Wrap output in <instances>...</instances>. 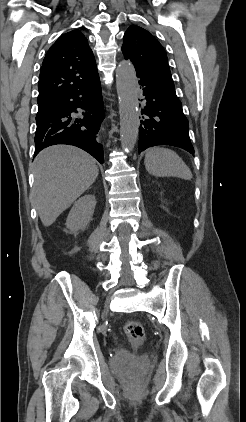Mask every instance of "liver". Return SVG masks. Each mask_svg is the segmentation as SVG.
Instances as JSON below:
<instances>
[{
  "mask_svg": "<svg viewBox=\"0 0 246 422\" xmlns=\"http://www.w3.org/2000/svg\"><path fill=\"white\" fill-rule=\"evenodd\" d=\"M98 172L95 160L77 147L54 145L42 150L33 163L31 197L43 225H52L95 182Z\"/></svg>",
  "mask_w": 246,
  "mask_h": 422,
  "instance_id": "obj_1",
  "label": "liver"
}]
</instances>
